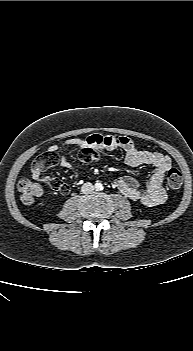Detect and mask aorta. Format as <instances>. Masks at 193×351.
Listing matches in <instances>:
<instances>
[{
	"label": "aorta",
	"instance_id": "1",
	"mask_svg": "<svg viewBox=\"0 0 193 351\" xmlns=\"http://www.w3.org/2000/svg\"><path fill=\"white\" fill-rule=\"evenodd\" d=\"M95 189H96L97 191L103 190V185H102L101 183H96V184H95Z\"/></svg>",
	"mask_w": 193,
	"mask_h": 351
}]
</instances>
